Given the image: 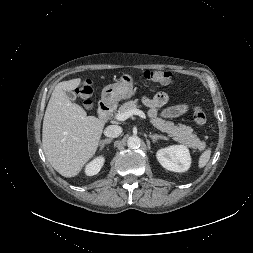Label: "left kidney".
Instances as JSON below:
<instances>
[{
  "label": "left kidney",
  "mask_w": 253,
  "mask_h": 253,
  "mask_svg": "<svg viewBox=\"0 0 253 253\" xmlns=\"http://www.w3.org/2000/svg\"><path fill=\"white\" fill-rule=\"evenodd\" d=\"M156 157L165 169L173 172H185L191 165L189 150L184 145L162 148L157 151Z\"/></svg>",
  "instance_id": "5707ae66"
}]
</instances>
